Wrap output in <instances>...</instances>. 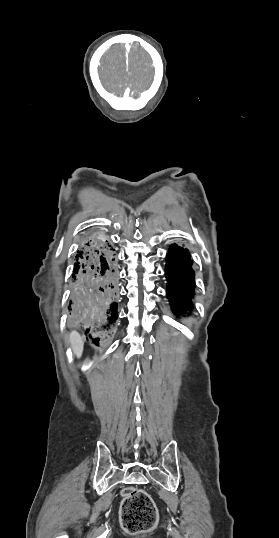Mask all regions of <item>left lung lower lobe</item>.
<instances>
[{
	"mask_svg": "<svg viewBox=\"0 0 279 538\" xmlns=\"http://www.w3.org/2000/svg\"><path fill=\"white\" fill-rule=\"evenodd\" d=\"M191 265L188 250L173 244L166 256L167 298L173 311L183 316L192 309L195 282Z\"/></svg>",
	"mask_w": 279,
	"mask_h": 538,
	"instance_id": "obj_1",
	"label": "left lung lower lobe"
}]
</instances>
